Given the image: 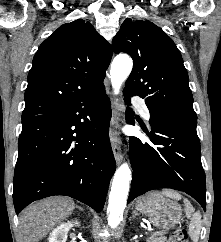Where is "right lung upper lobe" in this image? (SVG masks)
<instances>
[{"label": "right lung upper lobe", "instance_id": "obj_1", "mask_svg": "<svg viewBox=\"0 0 221 242\" xmlns=\"http://www.w3.org/2000/svg\"><path fill=\"white\" fill-rule=\"evenodd\" d=\"M111 45L82 19L60 26L38 48L22 119L63 109L103 85Z\"/></svg>", "mask_w": 221, "mask_h": 242}]
</instances>
